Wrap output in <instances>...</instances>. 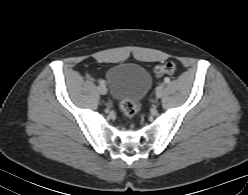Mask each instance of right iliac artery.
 Masks as SVG:
<instances>
[{
  "instance_id": "obj_1",
  "label": "right iliac artery",
  "mask_w": 248,
  "mask_h": 195,
  "mask_svg": "<svg viewBox=\"0 0 248 195\" xmlns=\"http://www.w3.org/2000/svg\"><path fill=\"white\" fill-rule=\"evenodd\" d=\"M100 84H101V85H103V84H104V81H103V80H101V81H100Z\"/></svg>"
}]
</instances>
